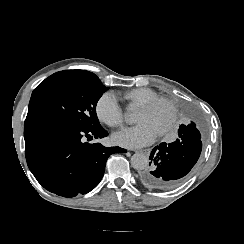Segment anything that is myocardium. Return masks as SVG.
<instances>
[{
	"instance_id": "obj_1",
	"label": "myocardium",
	"mask_w": 244,
	"mask_h": 244,
	"mask_svg": "<svg viewBox=\"0 0 244 244\" xmlns=\"http://www.w3.org/2000/svg\"><path fill=\"white\" fill-rule=\"evenodd\" d=\"M160 104H163V105L167 104L169 106V117H170L169 124H168V127L166 128V130L161 134V135H165L170 130V128L172 126V122H173L172 118L174 117L175 107L171 101H168L167 99L163 100L160 97H156L152 101H149L146 104H142V105L138 106L137 108L144 110V111H149V110L157 109V107Z\"/></svg>"
}]
</instances>
